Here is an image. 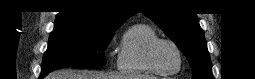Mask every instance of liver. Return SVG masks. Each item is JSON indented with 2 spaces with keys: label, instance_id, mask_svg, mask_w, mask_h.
<instances>
[{
  "label": "liver",
  "instance_id": "liver-1",
  "mask_svg": "<svg viewBox=\"0 0 255 79\" xmlns=\"http://www.w3.org/2000/svg\"><path fill=\"white\" fill-rule=\"evenodd\" d=\"M46 79H155L152 76H122L90 70L61 69L52 72Z\"/></svg>",
  "mask_w": 255,
  "mask_h": 79
}]
</instances>
